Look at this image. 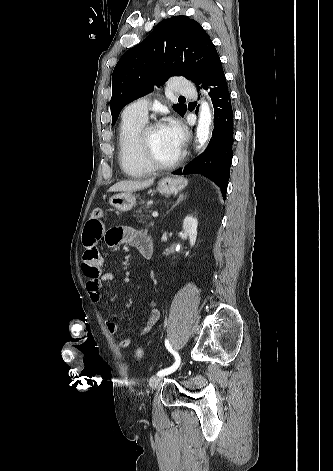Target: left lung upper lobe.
Wrapping results in <instances>:
<instances>
[{
  "label": "left lung upper lobe",
  "instance_id": "left-lung-upper-lobe-1",
  "mask_svg": "<svg viewBox=\"0 0 333 471\" xmlns=\"http://www.w3.org/2000/svg\"><path fill=\"white\" fill-rule=\"evenodd\" d=\"M214 52L209 35L197 21L187 16L161 21L144 41L125 52L114 68L112 125L124 106L171 76H184L196 83ZM173 107L181 116L187 111L186 105Z\"/></svg>",
  "mask_w": 333,
  "mask_h": 471
}]
</instances>
